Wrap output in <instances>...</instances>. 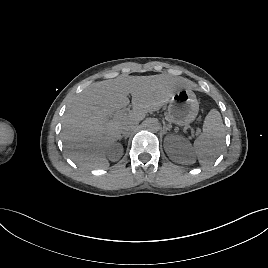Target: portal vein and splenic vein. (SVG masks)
Returning a JSON list of instances; mask_svg holds the SVG:
<instances>
[{
  "label": "portal vein and splenic vein",
  "mask_w": 268,
  "mask_h": 268,
  "mask_svg": "<svg viewBox=\"0 0 268 268\" xmlns=\"http://www.w3.org/2000/svg\"><path fill=\"white\" fill-rule=\"evenodd\" d=\"M124 115H125V111L122 110V111H119V112L115 115V117H116V118H120V117H122V116H124Z\"/></svg>",
  "instance_id": "1"
}]
</instances>
